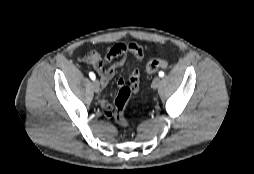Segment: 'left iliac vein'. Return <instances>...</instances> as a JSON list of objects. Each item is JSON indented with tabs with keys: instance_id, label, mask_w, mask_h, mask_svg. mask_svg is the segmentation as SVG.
Here are the masks:
<instances>
[{
	"instance_id": "4c4485c4",
	"label": "left iliac vein",
	"mask_w": 254,
	"mask_h": 174,
	"mask_svg": "<svg viewBox=\"0 0 254 174\" xmlns=\"http://www.w3.org/2000/svg\"><path fill=\"white\" fill-rule=\"evenodd\" d=\"M161 84V79L159 77H155L152 81V87L155 89V88H158L159 85Z\"/></svg>"
}]
</instances>
